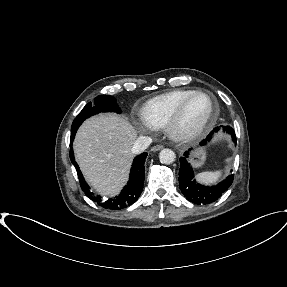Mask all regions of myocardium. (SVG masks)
I'll use <instances>...</instances> for the list:
<instances>
[{"instance_id":"myocardium-1","label":"myocardium","mask_w":287,"mask_h":287,"mask_svg":"<svg viewBox=\"0 0 287 287\" xmlns=\"http://www.w3.org/2000/svg\"><path fill=\"white\" fill-rule=\"evenodd\" d=\"M198 96L208 99L210 102V109L204 120L193 128H184L182 125L184 113L189 102ZM218 115V106L216 101L209 94L202 91H194L187 96L177 107L172 116L167 120L164 125L167 135L177 142H189L202 136L213 125Z\"/></svg>"}]
</instances>
